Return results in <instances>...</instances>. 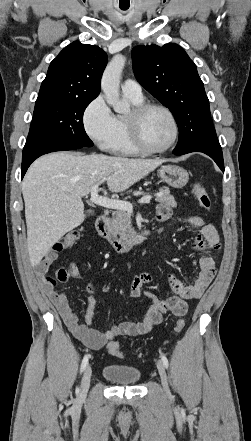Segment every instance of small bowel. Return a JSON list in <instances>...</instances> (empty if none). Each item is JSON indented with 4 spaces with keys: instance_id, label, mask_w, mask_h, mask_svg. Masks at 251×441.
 Listing matches in <instances>:
<instances>
[{
    "instance_id": "obj_1",
    "label": "small bowel",
    "mask_w": 251,
    "mask_h": 441,
    "mask_svg": "<svg viewBox=\"0 0 251 441\" xmlns=\"http://www.w3.org/2000/svg\"><path fill=\"white\" fill-rule=\"evenodd\" d=\"M171 218L172 214L167 206H158L156 211V219L158 221L164 222ZM179 220L198 231L193 246L206 253L200 259V271L192 284H187L173 274H169L167 276V284L173 294L163 299L158 298L152 291H142L144 285L153 281L154 277L151 273L142 272L134 276L129 287L130 297L139 298L143 294L149 301L148 309L143 319L139 322H121L105 332L97 330L93 326L96 303L94 298L95 286L90 283L87 286L89 296L87 298L84 322L80 323L78 316L69 303L67 295L57 291L52 283L44 280L46 272L57 257L56 253H48L44 259L35 265V273L42 291L55 305L65 325L76 339L85 346L98 350L117 336L144 335L153 326L161 323L163 314L170 312L175 316H183L188 309L187 301L198 299L202 296L216 274V259L210 253L219 248V236L215 227L207 223L201 216L186 215L179 218ZM69 270L74 277L79 276V269L74 262L70 263Z\"/></svg>"
}]
</instances>
